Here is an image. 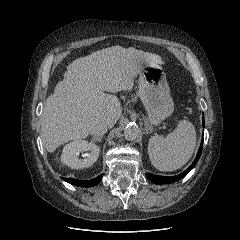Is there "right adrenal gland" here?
<instances>
[{
    "label": "right adrenal gland",
    "mask_w": 240,
    "mask_h": 240,
    "mask_svg": "<svg viewBox=\"0 0 240 240\" xmlns=\"http://www.w3.org/2000/svg\"><path fill=\"white\" fill-rule=\"evenodd\" d=\"M102 138H103V135H101V136H95V137H93L92 138V142H101V140H102Z\"/></svg>",
    "instance_id": "1"
}]
</instances>
